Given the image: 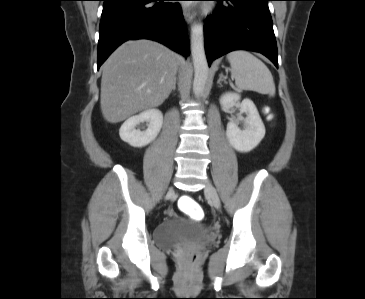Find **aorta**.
<instances>
[{"mask_svg": "<svg viewBox=\"0 0 365 299\" xmlns=\"http://www.w3.org/2000/svg\"><path fill=\"white\" fill-rule=\"evenodd\" d=\"M191 53L194 64L193 89L196 94H201L208 79V63L204 49L203 25L195 22L191 28Z\"/></svg>", "mask_w": 365, "mask_h": 299, "instance_id": "aorta-1", "label": "aorta"}]
</instances>
